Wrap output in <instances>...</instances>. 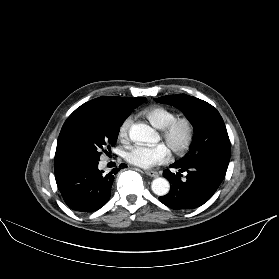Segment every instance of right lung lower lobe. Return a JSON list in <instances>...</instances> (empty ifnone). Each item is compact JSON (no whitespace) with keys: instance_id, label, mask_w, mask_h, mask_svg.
I'll use <instances>...</instances> for the list:
<instances>
[{"instance_id":"right-lung-lower-lobe-1","label":"right lung lower lobe","mask_w":279,"mask_h":279,"mask_svg":"<svg viewBox=\"0 0 279 279\" xmlns=\"http://www.w3.org/2000/svg\"><path fill=\"white\" fill-rule=\"evenodd\" d=\"M99 161L63 162L54 166L55 179L65 203L73 210L93 212L110 198L114 175L119 168L105 174Z\"/></svg>"}]
</instances>
